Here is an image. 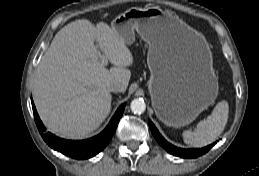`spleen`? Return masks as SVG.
<instances>
[{
    "label": "spleen",
    "mask_w": 259,
    "mask_h": 176,
    "mask_svg": "<svg viewBox=\"0 0 259 176\" xmlns=\"http://www.w3.org/2000/svg\"><path fill=\"white\" fill-rule=\"evenodd\" d=\"M229 105L227 101L219 102L212 114L200 121L194 131L182 133L184 142L192 147H204L213 143L223 132L228 121Z\"/></svg>",
    "instance_id": "spleen-1"
}]
</instances>
